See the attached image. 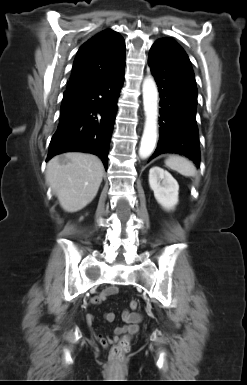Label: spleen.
Returning <instances> with one entry per match:
<instances>
[{
  "label": "spleen",
  "mask_w": 247,
  "mask_h": 385,
  "mask_svg": "<svg viewBox=\"0 0 247 385\" xmlns=\"http://www.w3.org/2000/svg\"><path fill=\"white\" fill-rule=\"evenodd\" d=\"M165 164L170 169L175 170L184 176L191 177L197 174L194 164L181 156L172 155L165 160Z\"/></svg>",
  "instance_id": "3e777b00"
}]
</instances>
